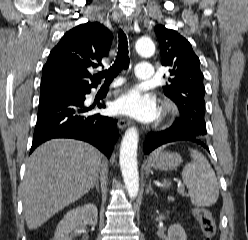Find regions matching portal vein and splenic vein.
<instances>
[{"label":"portal vein and splenic vein","mask_w":248,"mask_h":240,"mask_svg":"<svg viewBox=\"0 0 248 240\" xmlns=\"http://www.w3.org/2000/svg\"><path fill=\"white\" fill-rule=\"evenodd\" d=\"M178 192H179V193H183L184 190H183L181 187H179V188H178Z\"/></svg>","instance_id":"obj_1"}]
</instances>
